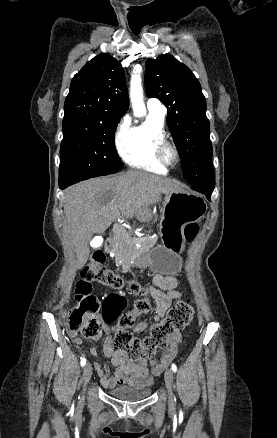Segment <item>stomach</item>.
<instances>
[{"label": "stomach", "mask_w": 277, "mask_h": 438, "mask_svg": "<svg viewBox=\"0 0 277 438\" xmlns=\"http://www.w3.org/2000/svg\"><path fill=\"white\" fill-rule=\"evenodd\" d=\"M206 203L196 193L179 189L165 193L159 222L161 245L140 255L138 267H150L155 273L173 275L182 268L180 253L185 247L184 227L199 221L205 214Z\"/></svg>", "instance_id": "obj_1"}]
</instances>
